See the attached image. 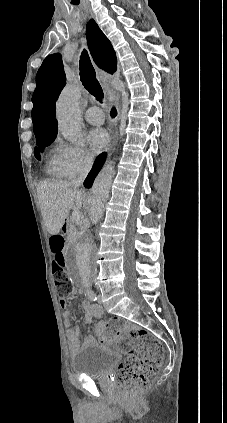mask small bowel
I'll return each instance as SVG.
<instances>
[{
    "mask_svg": "<svg viewBox=\"0 0 227 423\" xmlns=\"http://www.w3.org/2000/svg\"><path fill=\"white\" fill-rule=\"evenodd\" d=\"M64 256V253H63ZM65 259V258H64ZM59 304L62 308H66L67 307V300L65 298H61L59 301ZM81 306L85 311V323L86 324H91L95 318H99L101 316H103L104 314V310L103 308L95 303H91L87 300H83L81 302ZM72 321V317L71 314L69 312H65L64 313V323L67 327L70 326ZM106 331V326L104 323L100 322L97 324L96 326V332L99 336V341L101 343H106L108 342V338L105 334ZM67 338L69 341V347L71 349V351H75L79 345V339H80V329L76 328V329H69L67 331ZM87 343H93L95 342V339L92 337H88L86 339Z\"/></svg>",
    "mask_w": 227,
    "mask_h": 423,
    "instance_id": "1",
    "label": "small bowel"
}]
</instances>
